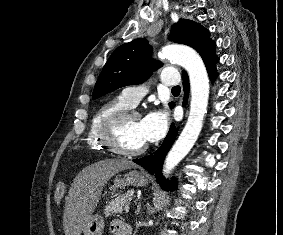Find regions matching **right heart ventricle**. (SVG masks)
I'll return each mask as SVG.
<instances>
[{"mask_svg": "<svg viewBox=\"0 0 283 235\" xmlns=\"http://www.w3.org/2000/svg\"><path fill=\"white\" fill-rule=\"evenodd\" d=\"M131 106L119 96L102 103L94 112L87 131L86 142L89 148L95 150H104L106 147L102 143L99 131L103 122L112 114L129 109Z\"/></svg>", "mask_w": 283, "mask_h": 235, "instance_id": "obj_1", "label": "right heart ventricle"}]
</instances>
